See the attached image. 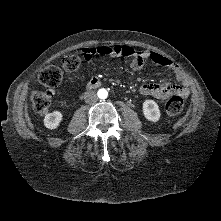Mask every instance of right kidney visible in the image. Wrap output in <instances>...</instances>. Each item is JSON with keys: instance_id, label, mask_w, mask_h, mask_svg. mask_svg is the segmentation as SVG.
Here are the masks:
<instances>
[{"instance_id": "obj_1", "label": "right kidney", "mask_w": 221, "mask_h": 221, "mask_svg": "<svg viewBox=\"0 0 221 221\" xmlns=\"http://www.w3.org/2000/svg\"><path fill=\"white\" fill-rule=\"evenodd\" d=\"M62 119V113L59 111H54L52 113L47 114L43 121L46 128L53 130L60 125Z\"/></svg>"}]
</instances>
